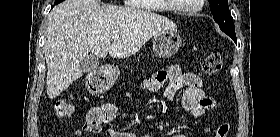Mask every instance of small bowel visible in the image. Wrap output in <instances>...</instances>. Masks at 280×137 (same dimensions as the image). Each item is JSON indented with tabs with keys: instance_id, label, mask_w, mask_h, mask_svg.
Returning <instances> with one entry per match:
<instances>
[{
	"instance_id": "c3829d8e",
	"label": "small bowel",
	"mask_w": 280,
	"mask_h": 137,
	"mask_svg": "<svg viewBox=\"0 0 280 137\" xmlns=\"http://www.w3.org/2000/svg\"><path fill=\"white\" fill-rule=\"evenodd\" d=\"M162 100L166 109L172 112L169 105L178 92L182 93V106L187 116L203 117L216 108V101L207 96L203 90L202 78L192 72H182L178 65L169 69H161L145 80L143 87L153 92L159 91L165 84ZM117 108L111 104L94 107L86 116V123L76 132V137H82L86 132L98 133L103 125L111 123L117 117ZM110 137H135L131 133H124L113 128L109 129ZM174 137H184L182 133Z\"/></svg>"
}]
</instances>
